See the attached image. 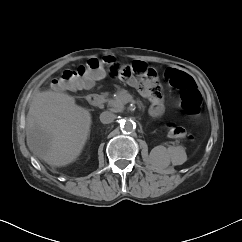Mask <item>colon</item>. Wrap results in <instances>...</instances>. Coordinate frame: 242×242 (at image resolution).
Returning a JSON list of instances; mask_svg holds the SVG:
<instances>
[{"instance_id":"1","label":"colon","mask_w":242,"mask_h":242,"mask_svg":"<svg viewBox=\"0 0 242 242\" xmlns=\"http://www.w3.org/2000/svg\"><path fill=\"white\" fill-rule=\"evenodd\" d=\"M120 68L121 66L110 56L102 59H90L86 64L75 69L62 71L52 81L51 85L55 90L75 91L84 89L91 86L93 81L105 71H108L113 77L119 76ZM121 75L124 78L133 77L137 79L140 86L149 93L158 94L161 91L155 71L148 67L146 63L126 64ZM165 76L172 86L180 90L182 108L188 113H197L202 103V97L191 76L173 68L168 69ZM168 132L170 136L175 138L186 137L184 128L174 124L168 125Z\"/></svg>"}]
</instances>
